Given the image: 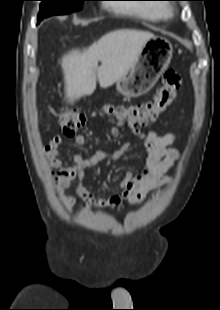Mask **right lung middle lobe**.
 Wrapping results in <instances>:
<instances>
[{
	"mask_svg": "<svg viewBox=\"0 0 220 310\" xmlns=\"http://www.w3.org/2000/svg\"><path fill=\"white\" fill-rule=\"evenodd\" d=\"M39 19L52 15L68 14L82 8L84 1L88 0H41Z\"/></svg>",
	"mask_w": 220,
	"mask_h": 310,
	"instance_id": "1",
	"label": "right lung middle lobe"
}]
</instances>
